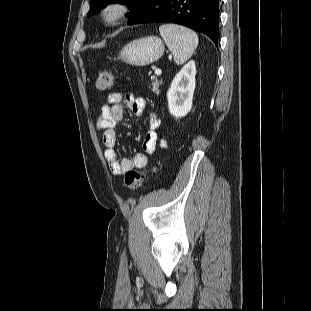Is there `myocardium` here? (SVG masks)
Masks as SVG:
<instances>
[{
	"instance_id": "1",
	"label": "myocardium",
	"mask_w": 311,
	"mask_h": 311,
	"mask_svg": "<svg viewBox=\"0 0 311 311\" xmlns=\"http://www.w3.org/2000/svg\"><path fill=\"white\" fill-rule=\"evenodd\" d=\"M129 13V7L123 2L115 1L105 5L101 11L103 21L114 26L120 23Z\"/></svg>"
}]
</instances>
